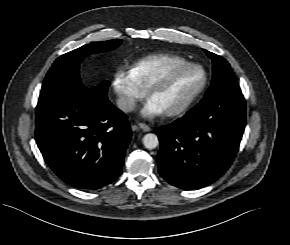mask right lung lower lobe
<instances>
[{
  "mask_svg": "<svg viewBox=\"0 0 290 245\" xmlns=\"http://www.w3.org/2000/svg\"><path fill=\"white\" fill-rule=\"evenodd\" d=\"M35 137L60 179L76 188L99 189L120 175L131 129L106 94L83 87L38 101Z\"/></svg>",
  "mask_w": 290,
  "mask_h": 245,
  "instance_id": "right-lung-lower-lobe-1",
  "label": "right lung lower lobe"
}]
</instances>
